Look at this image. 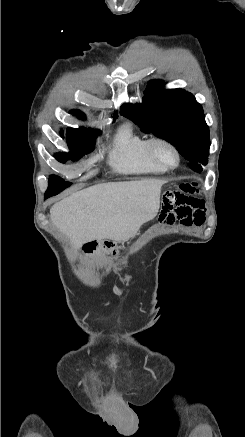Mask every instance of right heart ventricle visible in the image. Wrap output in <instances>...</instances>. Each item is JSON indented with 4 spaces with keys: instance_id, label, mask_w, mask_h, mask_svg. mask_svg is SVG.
Returning a JSON list of instances; mask_svg holds the SVG:
<instances>
[{
    "instance_id": "1",
    "label": "right heart ventricle",
    "mask_w": 245,
    "mask_h": 437,
    "mask_svg": "<svg viewBox=\"0 0 245 437\" xmlns=\"http://www.w3.org/2000/svg\"><path fill=\"white\" fill-rule=\"evenodd\" d=\"M146 138L138 134L130 123L121 125L113 139L109 154L114 170L125 174H159L166 168L157 164L147 154Z\"/></svg>"
}]
</instances>
